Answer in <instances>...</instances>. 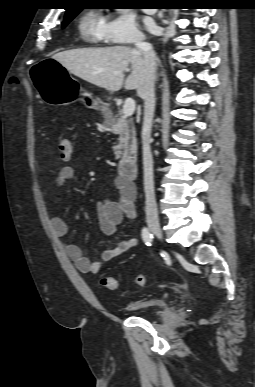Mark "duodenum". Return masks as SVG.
<instances>
[{
    "label": "duodenum",
    "instance_id": "obj_1",
    "mask_svg": "<svg viewBox=\"0 0 255 387\" xmlns=\"http://www.w3.org/2000/svg\"><path fill=\"white\" fill-rule=\"evenodd\" d=\"M118 170L125 180L130 182L135 180L139 172V166L136 157L124 156L118 164Z\"/></svg>",
    "mask_w": 255,
    "mask_h": 387
}]
</instances>
